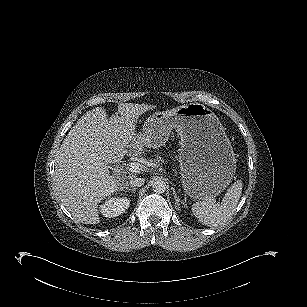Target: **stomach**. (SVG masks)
<instances>
[{"mask_svg":"<svg viewBox=\"0 0 307 307\" xmlns=\"http://www.w3.org/2000/svg\"><path fill=\"white\" fill-rule=\"evenodd\" d=\"M172 129L181 138L178 161L185 192L194 199L220 194L232 179L236 159L217 116L197 102L155 112L144 124L145 146L160 147Z\"/></svg>","mask_w":307,"mask_h":307,"instance_id":"obj_1","label":"stomach"}]
</instances>
